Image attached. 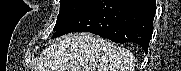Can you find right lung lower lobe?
<instances>
[{"label": "right lung lower lobe", "instance_id": "98d812e1", "mask_svg": "<svg viewBox=\"0 0 181 71\" xmlns=\"http://www.w3.org/2000/svg\"><path fill=\"white\" fill-rule=\"evenodd\" d=\"M155 12V0H94L53 38L70 32H91L121 44L136 43L147 53Z\"/></svg>", "mask_w": 181, "mask_h": 71}]
</instances>
